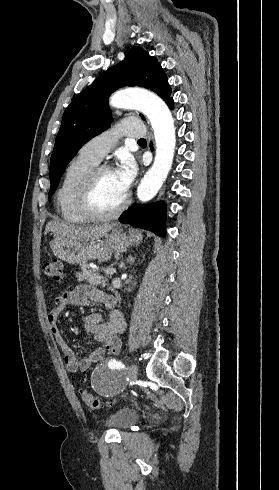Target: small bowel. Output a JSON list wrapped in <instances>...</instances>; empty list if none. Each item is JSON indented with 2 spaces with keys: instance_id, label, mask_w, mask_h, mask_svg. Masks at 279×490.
Masks as SVG:
<instances>
[{
  "instance_id": "c3829d8e",
  "label": "small bowel",
  "mask_w": 279,
  "mask_h": 490,
  "mask_svg": "<svg viewBox=\"0 0 279 490\" xmlns=\"http://www.w3.org/2000/svg\"><path fill=\"white\" fill-rule=\"evenodd\" d=\"M102 304L107 310V320H102L100 313L94 312L82 317L81 322L85 331L92 335L99 346L89 356L77 360L74 351L67 345L63 337L59 316L70 305L91 306ZM47 323L55 341L63 351L64 363L71 372L85 371L92 364L102 360L105 355H117L121 349L120 334L126 328L122 313L116 308L113 296L90 285H81L72 290L62 292L53 301V306L47 315Z\"/></svg>"
}]
</instances>
